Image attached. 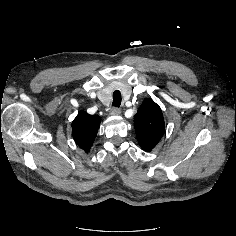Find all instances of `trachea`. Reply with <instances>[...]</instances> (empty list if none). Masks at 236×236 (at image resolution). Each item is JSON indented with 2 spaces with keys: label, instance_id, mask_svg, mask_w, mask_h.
<instances>
[{
  "label": "trachea",
  "instance_id": "trachea-1",
  "mask_svg": "<svg viewBox=\"0 0 236 236\" xmlns=\"http://www.w3.org/2000/svg\"><path fill=\"white\" fill-rule=\"evenodd\" d=\"M121 105V93L116 90L113 92V102L112 106L119 107Z\"/></svg>",
  "mask_w": 236,
  "mask_h": 236
}]
</instances>
